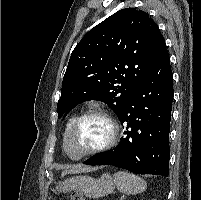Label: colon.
<instances>
[{
    "label": "colon",
    "mask_w": 201,
    "mask_h": 200,
    "mask_svg": "<svg viewBox=\"0 0 201 200\" xmlns=\"http://www.w3.org/2000/svg\"><path fill=\"white\" fill-rule=\"evenodd\" d=\"M71 200H84L82 195L79 193H74L71 197Z\"/></svg>",
    "instance_id": "obj_1"
}]
</instances>
